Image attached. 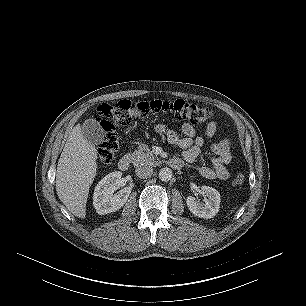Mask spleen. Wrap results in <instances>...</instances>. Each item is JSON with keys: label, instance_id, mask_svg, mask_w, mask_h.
Wrapping results in <instances>:
<instances>
[{"label": "spleen", "instance_id": "obj_1", "mask_svg": "<svg viewBox=\"0 0 306 306\" xmlns=\"http://www.w3.org/2000/svg\"><path fill=\"white\" fill-rule=\"evenodd\" d=\"M235 209H237V207L233 208V209L231 210V213H232V212H234V211H235Z\"/></svg>", "mask_w": 306, "mask_h": 306}]
</instances>
